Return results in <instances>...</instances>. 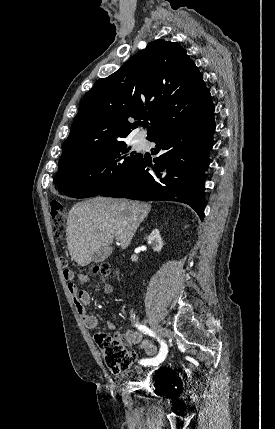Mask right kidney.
<instances>
[{
	"label": "right kidney",
	"instance_id": "obj_1",
	"mask_svg": "<svg viewBox=\"0 0 275 429\" xmlns=\"http://www.w3.org/2000/svg\"><path fill=\"white\" fill-rule=\"evenodd\" d=\"M148 244L151 245L152 249L156 252H160L163 247V240L160 236V232L158 229H155L151 232V234L147 237Z\"/></svg>",
	"mask_w": 275,
	"mask_h": 429
}]
</instances>
